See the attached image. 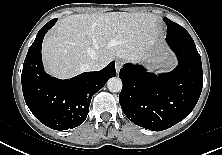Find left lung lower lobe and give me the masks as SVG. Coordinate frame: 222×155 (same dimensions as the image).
Returning a JSON list of instances; mask_svg holds the SVG:
<instances>
[{
	"instance_id": "obj_1",
	"label": "left lung lower lobe",
	"mask_w": 222,
	"mask_h": 155,
	"mask_svg": "<svg viewBox=\"0 0 222 155\" xmlns=\"http://www.w3.org/2000/svg\"><path fill=\"white\" fill-rule=\"evenodd\" d=\"M166 41L179 64L170 73L155 75L142 66L125 64L119 77V102L134 124L162 131L183 120L195 107L203 86L201 57L188 32L168 30Z\"/></svg>"
}]
</instances>
